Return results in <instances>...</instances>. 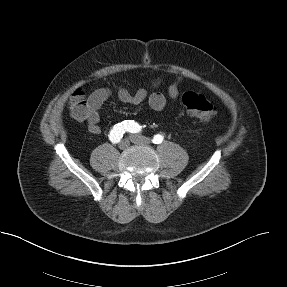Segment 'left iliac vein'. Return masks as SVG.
<instances>
[{
  "mask_svg": "<svg viewBox=\"0 0 287 287\" xmlns=\"http://www.w3.org/2000/svg\"><path fill=\"white\" fill-rule=\"evenodd\" d=\"M132 143L137 145H148L151 143V139L142 135L133 134L130 136Z\"/></svg>",
  "mask_w": 287,
  "mask_h": 287,
  "instance_id": "1",
  "label": "left iliac vein"
}]
</instances>
